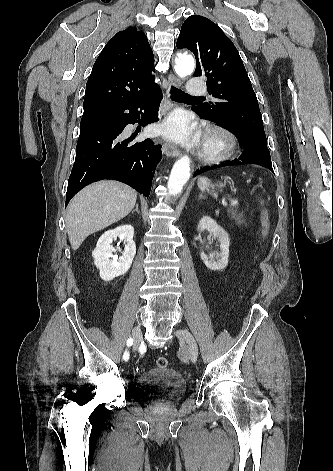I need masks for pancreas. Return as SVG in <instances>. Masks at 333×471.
<instances>
[{"label":"pancreas","instance_id":"cf45deb5","mask_svg":"<svg viewBox=\"0 0 333 471\" xmlns=\"http://www.w3.org/2000/svg\"><path fill=\"white\" fill-rule=\"evenodd\" d=\"M228 214L231 219H233L238 225L245 224L246 219L242 213L237 212L236 209L230 208L228 209Z\"/></svg>","mask_w":333,"mask_h":471}]
</instances>
